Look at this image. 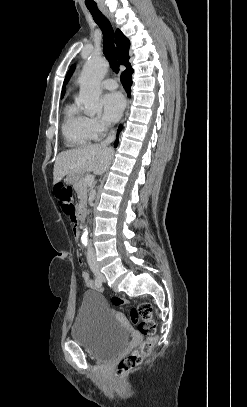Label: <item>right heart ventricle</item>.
Wrapping results in <instances>:
<instances>
[{
	"instance_id": "1",
	"label": "right heart ventricle",
	"mask_w": 247,
	"mask_h": 407,
	"mask_svg": "<svg viewBox=\"0 0 247 407\" xmlns=\"http://www.w3.org/2000/svg\"><path fill=\"white\" fill-rule=\"evenodd\" d=\"M62 133L69 147H83L94 140L88 117L83 115L74 104H69L64 109Z\"/></svg>"
}]
</instances>
